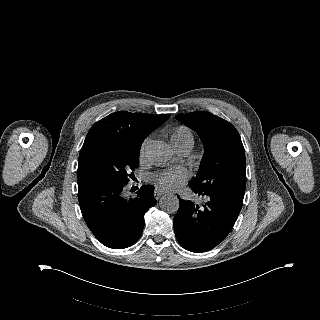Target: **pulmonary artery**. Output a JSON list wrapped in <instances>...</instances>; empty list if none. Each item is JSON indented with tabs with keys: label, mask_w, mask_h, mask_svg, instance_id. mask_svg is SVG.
Segmentation results:
<instances>
[{
	"label": "pulmonary artery",
	"mask_w": 320,
	"mask_h": 320,
	"mask_svg": "<svg viewBox=\"0 0 320 320\" xmlns=\"http://www.w3.org/2000/svg\"><path fill=\"white\" fill-rule=\"evenodd\" d=\"M173 147L175 152L182 156L186 155L191 149L187 145H173Z\"/></svg>",
	"instance_id": "e3ab8cb5"
}]
</instances>
